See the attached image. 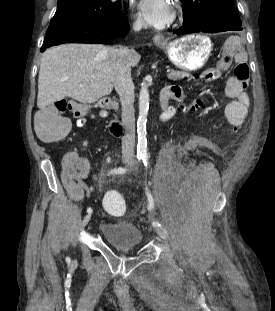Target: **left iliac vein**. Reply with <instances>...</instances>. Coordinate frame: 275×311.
<instances>
[{
    "mask_svg": "<svg viewBox=\"0 0 275 311\" xmlns=\"http://www.w3.org/2000/svg\"><path fill=\"white\" fill-rule=\"evenodd\" d=\"M156 234L161 237L162 239H167L168 238V233L163 227H156L155 229Z\"/></svg>",
    "mask_w": 275,
    "mask_h": 311,
    "instance_id": "1",
    "label": "left iliac vein"
}]
</instances>
